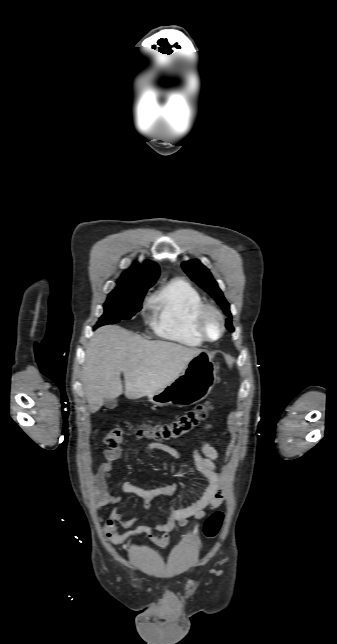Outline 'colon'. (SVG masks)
Masks as SVG:
<instances>
[{
    "mask_svg": "<svg viewBox=\"0 0 337 644\" xmlns=\"http://www.w3.org/2000/svg\"><path fill=\"white\" fill-rule=\"evenodd\" d=\"M210 410L211 406L209 404H200L170 423L137 426L132 429L131 434L139 438L146 437L154 440L179 438L190 433L204 421ZM124 434L125 432L121 427L111 429L105 436V444L109 448L118 447L123 441ZM222 522L223 513L220 511L214 512L204 523V535L207 538H215L221 529Z\"/></svg>",
    "mask_w": 337,
    "mask_h": 644,
    "instance_id": "colon-1",
    "label": "colon"
}]
</instances>
